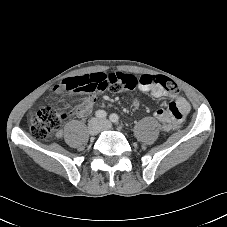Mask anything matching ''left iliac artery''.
<instances>
[{
	"mask_svg": "<svg viewBox=\"0 0 227 227\" xmlns=\"http://www.w3.org/2000/svg\"><path fill=\"white\" fill-rule=\"evenodd\" d=\"M110 120L113 122V123H118L119 121V116L115 113L111 114L110 115Z\"/></svg>",
	"mask_w": 227,
	"mask_h": 227,
	"instance_id": "left-iliac-artery-1",
	"label": "left iliac artery"
}]
</instances>
